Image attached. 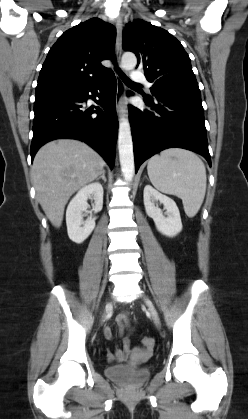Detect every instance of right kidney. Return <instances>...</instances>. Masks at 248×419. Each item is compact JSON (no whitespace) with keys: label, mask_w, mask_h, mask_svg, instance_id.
<instances>
[{"label":"right kidney","mask_w":248,"mask_h":419,"mask_svg":"<svg viewBox=\"0 0 248 419\" xmlns=\"http://www.w3.org/2000/svg\"><path fill=\"white\" fill-rule=\"evenodd\" d=\"M103 187L95 182L81 188L70 201L66 210V224L69 238L75 243H82L95 228V219L88 218L85 222L82 212L88 208L87 200H94L93 211L95 213L103 207Z\"/></svg>","instance_id":"ca27d5eb"}]
</instances>
